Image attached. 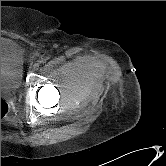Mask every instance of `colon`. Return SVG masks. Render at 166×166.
I'll return each instance as SVG.
<instances>
[{"label":"colon","instance_id":"obj_1","mask_svg":"<svg viewBox=\"0 0 166 166\" xmlns=\"http://www.w3.org/2000/svg\"><path fill=\"white\" fill-rule=\"evenodd\" d=\"M9 111L7 102L1 98V119H3Z\"/></svg>","mask_w":166,"mask_h":166}]
</instances>
